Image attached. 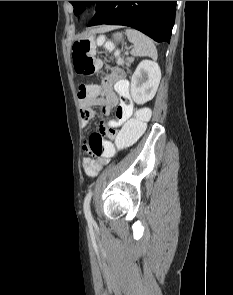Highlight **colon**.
<instances>
[{"instance_id":"5ec220e1","label":"colon","mask_w":233,"mask_h":295,"mask_svg":"<svg viewBox=\"0 0 233 295\" xmlns=\"http://www.w3.org/2000/svg\"><path fill=\"white\" fill-rule=\"evenodd\" d=\"M95 44L104 46L108 50L112 48V44L102 36L96 39L85 38L73 44L72 57L75 71L78 74L90 76L99 68V64L93 57ZM99 92L100 86L97 84H80L78 86L79 98L94 96ZM150 117L151 111L148 108H140L120 131L110 128L106 132H93L87 141L90 153L98 157L110 158L114 156L117 150L131 146L145 132ZM103 136L111 141L105 140Z\"/></svg>"}]
</instances>
